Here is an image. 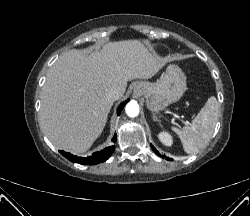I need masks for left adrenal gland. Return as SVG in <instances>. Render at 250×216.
<instances>
[{
  "label": "left adrenal gland",
  "instance_id": "1",
  "mask_svg": "<svg viewBox=\"0 0 250 216\" xmlns=\"http://www.w3.org/2000/svg\"><path fill=\"white\" fill-rule=\"evenodd\" d=\"M153 119L157 122H161V120L156 116L155 113H153Z\"/></svg>",
  "mask_w": 250,
  "mask_h": 216
}]
</instances>
